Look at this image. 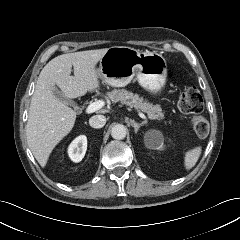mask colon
Masks as SVG:
<instances>
[{
    "mask_svg": "<svg viewBox=\"0 0 240 240\" xmlns=\"http://www.w3.org/2000/svg\"><path fill=\"white\" fill-rule=\"evenodd\" d=\"M178 108L183 113L193 114L191 125L199 137H204L208 134V120L200 115L203 109V99L196 87H187L181 91L178 99Z\"/></svg>",
    "mask_w": 240,
    "mask_h": 240,
    "instance_id": "colon-1",
    "label": "colon"
}]
</instances>
